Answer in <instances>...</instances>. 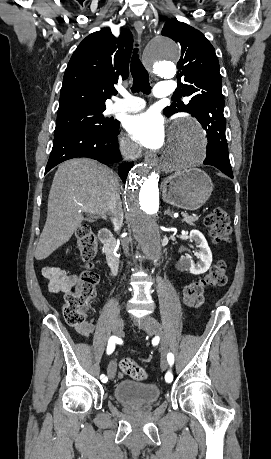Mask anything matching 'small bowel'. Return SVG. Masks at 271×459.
Here are the masks:
<instances>
[{"label":"small bowel","instance_id":"small-bowel-1","mask_svg":"<svg viewBox=\"0 0 271 459\" xmlns=\"http://www.w3.org/2000/svg\"><path fill=\"white\" fill-rule=\"evenodd\" d=\"M43 277L47 288L53 293H67L79 281V276L69 274L65 269L57 266H48L43 269ZM96 322L91 319L75 327V331L84 337H88L95 331Z\"/></svg>","mask_w":271,"mask_h":459}]
</instances>
